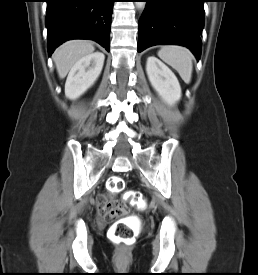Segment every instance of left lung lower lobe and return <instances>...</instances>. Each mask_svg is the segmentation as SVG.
<instances>
[{
    "instance_id": "1",
    "label": "left lung lower lobe",
    "mask_w": 258,
    "mask_h": 275,
    "mask_svg": "<svg viewBox=\"0 0 258 275\" xmlns=\"http://www.w3.org/2000/svg\"><path fill=\"white\" fill-rule=\"evenodd\" d=\"M147 2L138 24V52L154 45L188 47L201 53L204 0H143Z\"/></svg>"
}]
</instances>
